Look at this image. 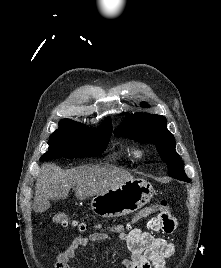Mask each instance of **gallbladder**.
I'll list each match as a JSON object with an SVG mask.
<instances>
[{
	"label": "gallbladder",
	"instance_id": "gallbladder-1",
	"mask_svg": "<svg viewBox=\"0 0 221 268\" xmlns=\"http://www.w3.org/2000/svg\"><path fill=\"white\" fill-rule=\"evenodd\" d=\"M48 202H35V205L32 206V209L35 210L36 213H47Z\"/></svg>",
	"mask_w": 221,
	"mask_h": 268
}]
</instances>
